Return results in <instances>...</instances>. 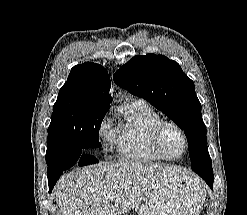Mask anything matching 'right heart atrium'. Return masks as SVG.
<instances>
[{
	"label": "right heart atrium",
	"mask_w": 247,
	"mask_h": 215,
	"mask_svg": "<svg viewBox=\"0 0 247 215\" xmlns=\"http://www.w3.org/2000/svg\"><path fill=\"white\" fill-rule=\"evenodd\" d=\"M98 132L101 137L109 140L113 134L112 119L109 116H104L98 126Z\"/></svg>",
	"instance_id": "d8ad5b80"
}]
</instances>
